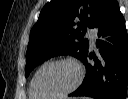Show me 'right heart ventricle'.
Segmentation results:
<instances>
[{
    "label": "right heart ventricle",
    "instance_id": "e07e8e85",
    "mask_svg": "<svg viewBox=\"0 0 128 99\" xmlns=\"http://www.w3.org/2000/svg\"><path fill=\"white\" fill-rule=\"evenodd\" d=\"M29 97L32 98V99L36 98L35 96L32 95V93L30 91V87H29Z\"/></svg>",
    "mask_w": 128,
    "mask_h": 99
}]
</instances>
